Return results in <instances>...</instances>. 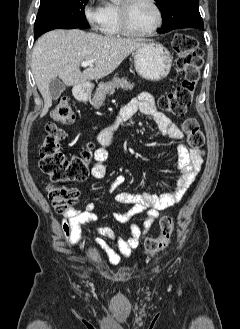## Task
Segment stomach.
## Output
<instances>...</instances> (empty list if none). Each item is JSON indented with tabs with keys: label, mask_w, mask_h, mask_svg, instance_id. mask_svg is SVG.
Wrapping results in <instances>:
<instances>
[{
	"label": "stomach",
	"mask_w": 240,
	"mask_h": 329,
	"mask_svg": "<svg viewBox=\"0 0 240 329\" xmlns=\"http://www.w3.org/2000/svg\"><path fill=\"white\" fill-rule=\"evenodd\" d=\"M170 52L161 44L143 43L134 52V66L144 79L158 81L165 78L171 69Z\"/></svg>",
	"instance_id": "obj_1"
}]
</instances>
